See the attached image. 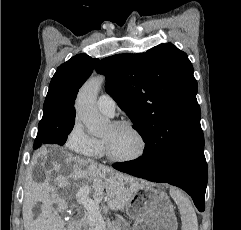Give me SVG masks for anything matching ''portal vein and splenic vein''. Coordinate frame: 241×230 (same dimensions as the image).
I'll list each match as a JSON object with an SVG mask.
<instances>
[{"instance_id": "obj_1", "label": "portal vein and splenic vein", "mask_w": 241, "mask_h": 230, "mask_svg": "<svg viewBox=\"0 0 241 230\" xmlns=\"http://www.w3.org/2000/svg\"><path fill=\"white\" fill-rule=\"evenodd\" d=\"M88 193L89 188L82 189L76 194V200L88 211L89 220L99 228L98 230H102L105 227V222L99 211L98 201L90 199Z\"/></svg>"}]
</instances>
